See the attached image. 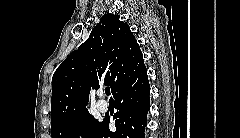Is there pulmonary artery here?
I'll return each instance as SVG.
<instances>
[{
    "label": "pulmonary artery",
    "mask_w": 240,
    "mask_h": 138,
    "mask_svg": "<svg viewBox=\"0 0 240 138\" xmlns=\"http://www.w3.org/2000/svg\"><path fill=\"white\" fill-rule=\"evenodd\" d=\"M97 94L100 96V97H103L104 96V92H103V90H98L97 91ZM97 108H98V110L99 111H101V112H106L107 110H108V103L105 101V100H99L98 102H97Z\"/></svg>",
    "instance_id": "e3ab8cb5"
}]
</instances>
